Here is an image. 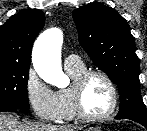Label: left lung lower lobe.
I'll return each instance as SVG.
<instances>
[{
  "mask_svg": "<svg viewBox=\"0 0 147 131\" xmlns=\"http://www.w3.org/2000/svg\"><path fill=\"white\" fill-rule=\"evenodd\" d=\"M115 119H119V118L115 117ZM129 120H133V121L143 125L147 129V122L146 121H142V120H138V119H129Z\"/></svg>",
  "mask_w": 147,
  "mask_h": 131,
  "instance_id": "1",
  "label": "left lung lower lobe"
}]
</instances>
